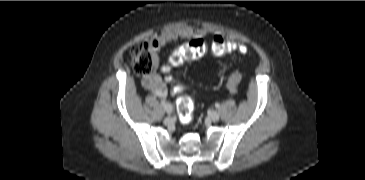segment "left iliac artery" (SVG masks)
<instances>
[{"label":"left iliac artery","mask_w":365,"mask_h":180,"mask_svg":"<svg viewBox=\"0 0 365 180\" xmlns=\"http://www.w3.org/2000/svg\"><path fill=\"white\" fill-rule=\"evenodd\" d=\"M215 106H216V108H219L220 107V104L219 103H216Z\"/></svg>","instance_id":"1"}]
</instances>
